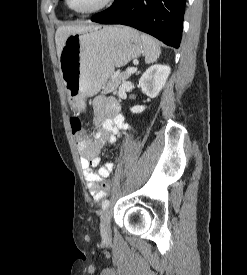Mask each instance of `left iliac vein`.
<instances>
[{
    "instance_id": "4c4485c4",
    "label": "left iliac vein",
    "mask_w": 247,
    "mask_h": 275,
    "mask_svg": "<svg viewBox=\"0 0 247 275\" xmlns=\"http://www.w3.org/2000/svg\"><path fill=\"white\" fill-rule=\"evenodd\" d=\"M111 217H110V212L105 211L102 216H101V221H100V232L101 236L104 239H109L111 236Z\"/></svg>"
}]
</instances>
